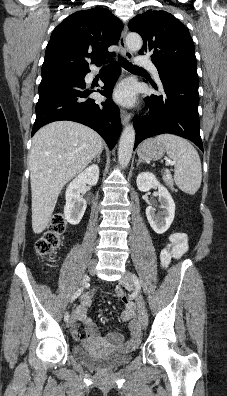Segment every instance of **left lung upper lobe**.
<instances>
[{
  "mask_svg": "<svg viewBox=\"0 0 227 396\" xmlns=\"http://www.w3.org/2000/svg\"><path fill=\"white\" fill-rule=\"evenodd\" d=\"M129 29L143 38L140 55L151 54L158 72L170 71L198 77L194 43L178 19L166 11H147L129 22Z\"/></svg>",
  "mask_w": 227,
  "mask_h": 396,
  "instance_id": "1",
  "label": "left lung upper lobe"
}]
</instances>
